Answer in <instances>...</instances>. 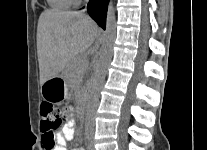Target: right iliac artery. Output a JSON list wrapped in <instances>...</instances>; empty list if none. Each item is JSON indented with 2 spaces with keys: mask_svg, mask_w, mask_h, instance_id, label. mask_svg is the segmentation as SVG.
Masks as SVG:
<instances>
[{
  "mask_svg": "<svg viewBox=\"0 0 207 150\" xmlns=\"http://www.w3.org/2000/svg\"><path fill=\"white\" fill-rule=\"evenodd\" d=\"M87 134L89 135V132H87ZM80 150H83V149H80Z\"/></svg>",
  "mask_w": 207,
  "mask_h": 150,
  "instance_id": "right-iliac-artery-1",
  "label": "right iliac artery"
}]
</instances>
